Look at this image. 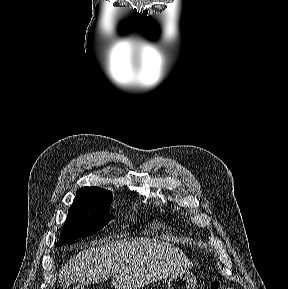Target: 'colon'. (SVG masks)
Returning a JSON list of instances; mask_svg holds the SVG:
<instances>
[{"mask_svg": "<svg viewBox=\"0 0 288 289\" xmlns=\"http://www.w3.org/2000/svg\"><path fill=\"white\" fill-rule=\"evenodd\" d=\"M211 289H233V288L222 285L220 283H214Z\"/></svg>", "mask_w": 288, "mask_h": 289, "instance_id": "obj_1", "label": "colon"}]
</instances>
